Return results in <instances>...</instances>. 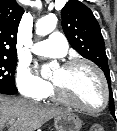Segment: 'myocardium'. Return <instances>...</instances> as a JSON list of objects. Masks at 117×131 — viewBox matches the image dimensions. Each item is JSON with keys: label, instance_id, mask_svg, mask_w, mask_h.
Instances as JSON below:
<instances>
[{"label": "myocardium", "instance_id": "1", "mask_svg": "<svg viewBox=\"0 0 117 131\" xmlns=\"http://www.w3.org/2000/svg\"><path fill=\"white\" fill-rule=\"evenodd\" d=\"M80 65L88 66L98 76V78L101 82V85H102V89H103V102H102V104L98 108L86 107L83 104H81L80 102H78L75 99H73L72 97H70L66 93V91L58 83L52 81L54 94L57 97V99H59L63 103L73 106L81 111H84L87 113H99L107 107L108 102H109V88H108L106 78H105L103 72L101 71V69L96 64H94L93 62H91L89 60H85V59H71V60L64 62L61 67L65 70H69V69L75 68Z\"/></svg>", "mask_w": 117, "mask_h": 131}]
</instances>
